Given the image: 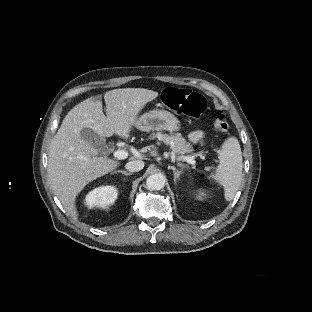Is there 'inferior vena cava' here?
Instances as JSON below:
<instances>
[{
    "instance_id": "1",
    "label": "inferior vena cava",
    "mask_w": 312,
    "mask_h": 312,
    "mask_svg": "<svg viewBox=\"0 0 312 312\" xmlns=\"http://www.w3.org/2000/svg\"><path fill=\"white\" fill-rule=\"evenodd\" d=\"M144 168V162L141 160H131L126 163V169L130 172H137Z\"/></svg>"
}]
</instances>
